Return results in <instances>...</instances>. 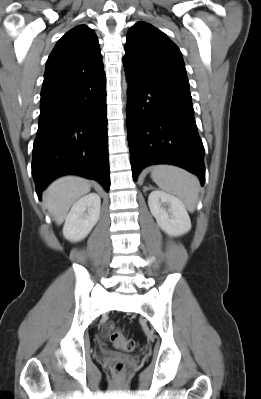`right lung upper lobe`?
<instances>
[{"label":"right lung upper lobe","instance_id":"right-lung-upper-lobe-1","mask_svg":"<svg viewBox=\"0 0 261 399\" xmlns=\"http://www.w3.org/2000/svg\"><path fill=\"white\" fill-rule=\"evenodd\" d=\"M95 32L86 25L68 31L56 44L46 62L41 97L104 75Z\"/></svg>","mask_w":261,"mask_h":399}]
</instances>
